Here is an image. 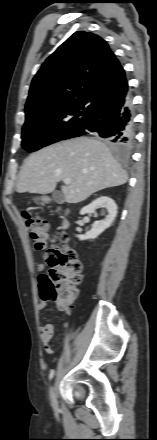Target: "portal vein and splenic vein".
Segmentation results:
<instances>
[{"mask_svg":"<svg viewBox=\"0 0 157 440\" xmlns=\"http://www.w3.org/2000/svg\"><path fill=\"white\" fill-rule=\"evenodd\" d=\"M64 183H65L66 185H68V184H70V180H69V179H65V180H64Z\"/></svg>","mask_w":157,"mask_h":440,"instance_id":"portal-vein-and-splenic-vein-1","label":"portal vein and splenic vein"}]
</instances>
